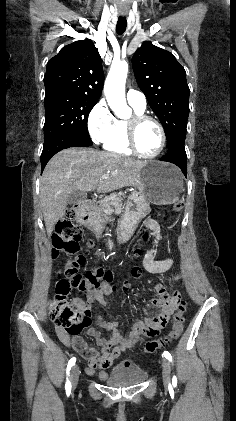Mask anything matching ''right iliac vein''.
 I'll use <instances>...</instances> for the list:
<instances>
[{
    "label": "right iliac vein",
    "mask_w": 236,
    "mask_h": 421,
    "mask_svg": "<svg viewBox=\"0 0 236 421\" xmlns=\"http://www.w3.org/2000/svg\"><path fill=\"white\" fill-rule=\"evenodd\" d=\"M78 378H79V369L77 366H74L72 368L71 374H70V381L72 384V387L75 388L77 383H78Z\"/></svg>",
    "instance_id": "obj_1"
}]
</instances>
